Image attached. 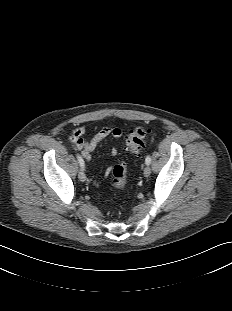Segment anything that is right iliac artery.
<instances>
[{
  "mask_svg": "<svg viewBox=\"0 0 232 311\" xmlns=\"http://www.w3.org/2000/svg\"><path fill=\"white\" fill-rule=\"evenodd\" d=\"M77 159H78V162H79L81 168L84 170L85 164H84V160H83V158L81 157V155L77 154Z\"/></svg>",
  "mask_w": 232,
  "mask_h": 311,
  "instance_id": "1",
  "label": "right iliac artery"
}]
</instances>
